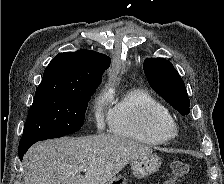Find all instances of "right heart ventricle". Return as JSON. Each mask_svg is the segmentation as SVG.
Returning a JSON list of instances; mask_svg holds the SVG:
<instances>
[{
    "mask_svg": "<svg viewBox=\"0 0 224 184\" xmlns=\"http://www.w3.org/2000/svg\"><path fill=\"white\" fill-rule=\"evenodd\" d=\"M172 120L170 110L141 88L124 92L110 112L112 133L150 146L169 141L162 126Z\"/></svg>",
    "mask_w": 224,
    "mask_h": 184,
    "instance_id": "1",
    "label": "right heart ventricle"
}]
</instances>
